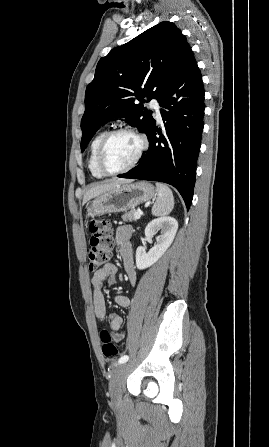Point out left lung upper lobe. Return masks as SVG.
<instances>
[{"instance_id":"5c2ea615","label":"left lung upper lobe","mask_w":269,"mask_h":447,"mask_svg":"<svg viewBox=\"0 0 269 447\" xmlns=\"http://www.w3.org/2000/svg\"><path fill=\"white\" fill-rule=\"evenodd\" d=\"M189 48L180 29L165 21L101 58L85 92L81 150L115 117H125L147 133L154 118L144 104L152 98L160 101Z\"/></svg>"}]
</instances>
